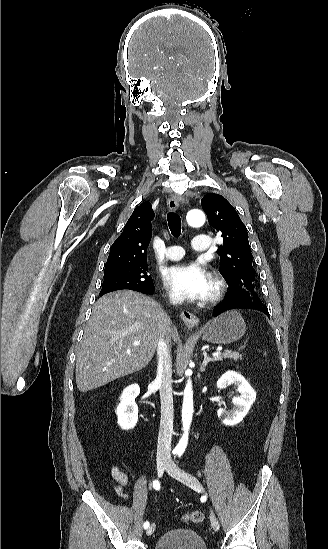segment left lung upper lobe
<instances>
[{
  "label": "left lung upper lobe",
  "mask_w": 328,
  "mask_h": 549,
  "mask_svg": "<svg viewBox=\"0 0 328 549\" xmlns=\"http://www.w3.org/2000/svg\"><path fill=\"white\" fill-rule=\"evenodd\" d=\"M201 204L209 224L223 238V245L217 252L220 255L219 272L229 285L227 297L260 300L246 226L234 207L221 195L206 194Z\"/></svg>",
  "instance_id": "left-lung-upper-lobe-1"
}]
</instances>
